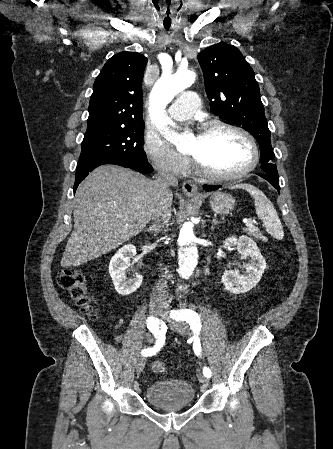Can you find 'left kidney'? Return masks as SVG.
I'll use <instances>...</instances> for the list:
<instances>
[{"instance_id":"1","label":"left kidney","mask_w":333,"mask_h":449,"mask_svg":"<svg viewBox=\"0 0 333 449\" xmlns=\"http://www.w3.org/2000/svg\"><path fill=\"white\" fill-rule=\"evenodd\" d=\"M224 248L230 250L236 247L243 258L250 257L251 263L246 267V275H240L234 270H227L222 276L225 288L234 294L245 293L251 290L260 281L266 268V261L263 258L257 244L247 236L230 237L225 240Z\"/></svg>"}]
</instances>
